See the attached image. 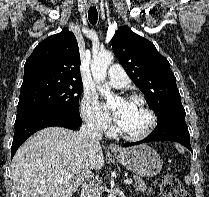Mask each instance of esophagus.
Here are the masks:
<instances>
[{
    "label": "esophagus",
    "mask_w": 209,
    "mask_h": 197,
    "mask_svg": "<svg viewBox=\"0 0 209 197\" xmlns=\"http://www.w3.org/2000/svg\"><path fill=\"white\" fill-rule=\"evenodd\" d=\"M90 4L95 5L96 1L95 0H90ZM108 148L112 153H122L121 149L116 144H110Z\"/></svg>",
    "instance_id": "34e87169"
}]
</instances>
